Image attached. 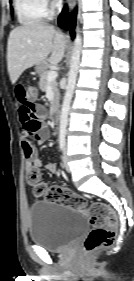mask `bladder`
Returning <instances> with one entry per match:
<instances>
[{
	"label": "bladder",
	"instance_id": "obj_1",
	"mask_svg": "<svg viewBox=\"0 0 134 281\" xmlns=\"http://www.w3.org/2000/svg\"><path fill=\"white\" fill-rule=\"evenodd\" d=\"M88 228L78 210L54 202H35L29 209V238L49 251H62Z\"/></svg>",
	"mask_w": 134,
	"mask_h": 281
}]
</instances>
